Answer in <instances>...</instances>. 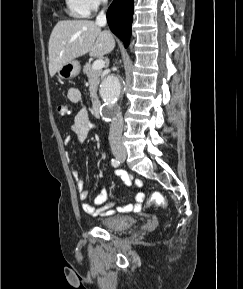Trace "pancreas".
I'll list each match as a JSON object with an SVG mask.
<instances>
[{"mask_svg":"<svg viewBox=\"0 0 243 289\" xmlns=\"http://www.w3.org/2000/svg\"><path fill=\"white\" fill-rule=\"evenodd\" d=\"M83 72L87 75L89 81V92L92 101L97 99V89L100 83L101 69H93L90 63L83 66Z\"/></svg>","mask_w":243,"mask_h":289,"instance_id":"pancreas-1","label":"pancreas"}]
</instances>
